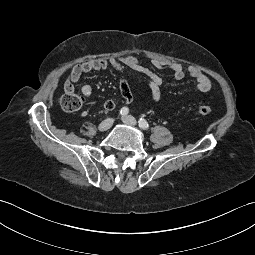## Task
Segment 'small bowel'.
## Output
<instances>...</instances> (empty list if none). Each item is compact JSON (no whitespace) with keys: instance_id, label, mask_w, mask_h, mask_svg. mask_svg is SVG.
I'll return each mask as SVG.
<instances>
[{"instance_id":"obj_1","label":"small bowel","mask_w":255,"mask_h":255,"mask_svg":"<svg viewBox=\"0 0 255 255\" xmlns=\"http://www.w3.org/2000/svg\"><path fill=\"white\" fill-rule=\"evenodd\" d=\"M152 65L161 70H169L176 80L183 79L186 75L192 77L196 82V87L201 92H208L212 87L210 78L201 70L196 68L184 69L180 64L167 62L159 59L152 60ZM108 67L113 68L119 73H137L143 75L149 84L151 97L154 102L161 100V89L164 84V79L157 75L154 71L143 65L133 54H126L119 58H111L109 60H90L82 64H77L73 67L66 83V89H73V84L77 83L83 74L92 71L106 70ZM119 89L122 100L129 104L133 100L130 85L124 78L120 79ZM85 98H90L93 93V87L90 84H85L81 89ZM115 99H108L104 103L106 111H112L116 107Z\"/></svg>"}]
</instances>
